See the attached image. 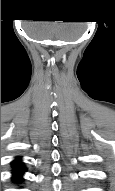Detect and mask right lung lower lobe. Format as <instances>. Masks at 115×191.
Here are the masks:
<instances>
[{
	"label": "right lung lower lobe",
	"mask_w": 115,
	"mask_h": 191,
	"mask_svg": "<svg viewBox=\"0 0 115 191\" xmlns=\"http://www.w3.org/2000/svg\"><path fill=\"white\" fill-rule=\"evenodd\" d=\"M26 171V169H16L13 170L12 181L14 183H20L22 181V174Z\"/></svg>",
	"instance_id": "obj_1"
}]
</instances>
